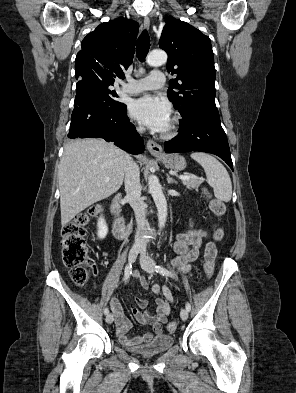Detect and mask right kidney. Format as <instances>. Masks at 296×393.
I'll return each mask as SVG.
<instances>
[{"label":"right kidney","instance_id":"obj_1","mask_svg":"<svg viewBox=\"0 0 296 393\" xmlns=\"http://www.w3.org/2000/svg\"><path fill=\"white\" fill-rule=\"evenodd\" d=\"M98 237L104 239L108 233V227L103 217L98 220Z\"/></svg>","mask_w":296,"mask_h":393}]
</instances>
